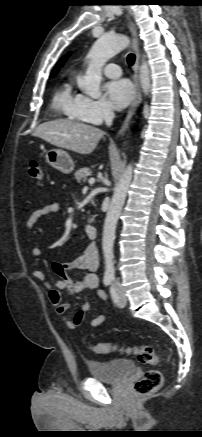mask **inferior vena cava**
I'll return each instance as SVG.
<instances>
[{
  "label": "inferior vena cava",
  "mask_w": 202,
  "mask_h": 437,
  "mask_svg": "<svg viewBox=\"0 0 202 437\" xmlns=\"http://www.w3.org/2000/svg\"><path fill=\"white\" fill-rule=\"evenodd\" d=\"M114 112L111 108H107L104 111V120L107 126H111L114 119Z\"/></svg>",
  "instance_id": "602c4592"
}]
</instances>
